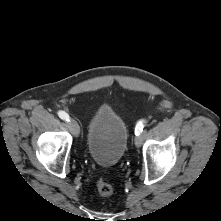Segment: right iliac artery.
Segmentation results:
<instances>
[{"mask_svg":"<svg viewBox=\"0 0 221 221\" xmlns=\"http://www.w3.org/2000/svg\"><path fill=\"white\" fill-rule=\"evenodd\" d=\"M58 116L65 121H69V115L64 111H59Z\"/></svg>","mask_w":221,"mask_h":221,"instance_id":"82829eb1","label":"right iliac artery"}]
</instances>
